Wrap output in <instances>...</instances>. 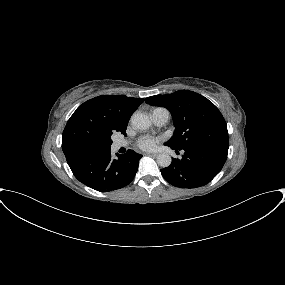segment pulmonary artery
I'll list each match as a JSON object with an SVG mask.
<instances>
[{
    "label": "pulmonary artery",
    "mask_w": 285,
    "mask_h": 285,
    "mask_svg": "<svg viewBox=\"0 0 285 285\" xmlns=\"http://www.w3.org/2000/svg\"><path fill=\"white\" fill-rule=\"evenodd\" d=\"M150 116L152 122L158 127L164 126L170 118L169 112L164 108H156L152 110ZM114 145L115 147L120 148L122 146H125L126 143L124 141H116Z\"/></svg>",
    "instance_id": "obj_1"
}]
</instances>
